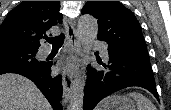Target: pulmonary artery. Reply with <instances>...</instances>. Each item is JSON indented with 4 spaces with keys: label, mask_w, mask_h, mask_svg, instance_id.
Here are the masks:
<instances>
[{
    "label": "pulmonary artery",
    "mask_w": 171,
    "mask_h": 110,
    "mask_svg": "<svg viewBox=\"0 0 171 110\" xmlns=\"http://www.w3.org/2000/svg\"><path fill=\"white\" fill-rule=\"evenodd\" d=\"M93 44L101 51L102 56L105 59H108V50L107 47L99 40H93Z\"/></svg>",
    "instance_id": "obj_1"
}]
</instances>
